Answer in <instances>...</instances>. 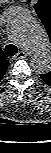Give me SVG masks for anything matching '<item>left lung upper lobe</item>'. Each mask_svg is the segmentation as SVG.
Returning a JSON list of instances; mask_svg holds the SVG:
<instances>
[{"mask_svg":"<svg viewBox=\"0 0 51 153\" xmlns=\"http://www.w3.org/2000/svg\"><path fill=\"white\" fill-rule=\"evenodd\" d=\"M34 8L51 40V0H39ZM40 77L51 86V71L47 74H41Z\"/></svg>","mask_w":51,"mask_h":153,"instance_id":"obj_1","label":"left lung upper lobe"}]
</instances>
